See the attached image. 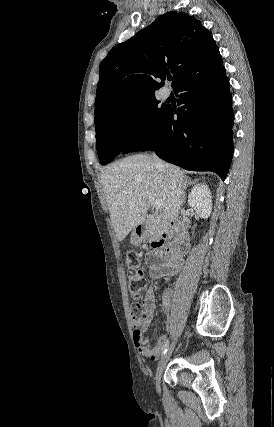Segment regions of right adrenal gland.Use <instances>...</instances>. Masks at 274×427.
Masks as SVG:
<instances>
[{
    "label": "right adrenal gland",
    "mask_w": 274,
    "mask_h": 427,
    "mask_svg": "<svg viewBox=\"0 0 274 427\" xmlns=\"http://www.w3.org/2000/svg\"><path fill=\"white\" fill-rule=\"evenodd\" d=\"M197 182H199V180H193V182H192V180H189L186 188H188V186H192V184H197Z\"/></svg>",
    "instance_id": "obj_1"
}]
</instances>
